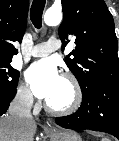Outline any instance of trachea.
<instances>
[{
    "mask_svg": "<svg viewBox=\"0 0 119 141\" xmlns=\"http://www.w3.org/2000/svg\"><path fill=\"white\" fill-rule=\"evenodd\" d=\"M45 2V0H33L31 6L30 18L37 29H40L42 25V14L45 7Z\"/></svg>",
    "mask_w": 119,
    "mask_h": 141,
    "instance_id": "3493384b",
    "label": "trachea"
}]
</instances>
